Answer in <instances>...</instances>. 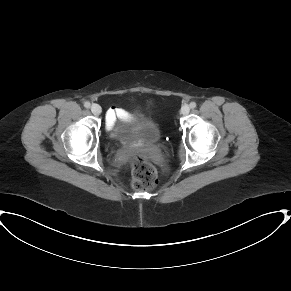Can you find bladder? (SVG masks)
<instances>
[{
  "instance_id": "obj_1",
  "label": "bladder",
  "mask_w": 291,
  "mask_h": 291,
  "mask_svg": "<svg viewBox=\"0 0 291 291\" xmlns=\"http://www.w3.org/2000/svg\"><path fill=\"white\" fill-rule=\"evenodd\" d=\"M158 123L150 114L129 113L119 123L110 126L109 132L117 139L133 141L142 136H157Z\"/></svg>"
}]
</instances>
